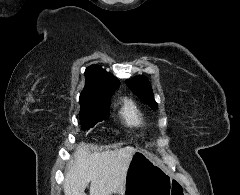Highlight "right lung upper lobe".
<instances>
[{
  "mask_svg": "<svg viewBox=\"0 0 240 195\" xmlns=\"http://www.w3.org/2000/svg\"><path fill=\"white\" fill-rule=\"evenodd\" d=\"M85 77V86L79 101H110L115 89L120 85V81L114 75L95 64L86 68Z\"/></svg>",
  "mask_w": 240,
  "mask_h": 195,
  "instance_id": "right-lung-upper-lobe-1",
  "label": "right lung upper lobe"
}]
</instances>
